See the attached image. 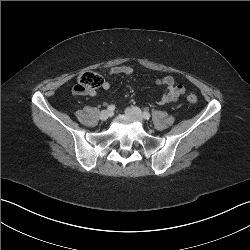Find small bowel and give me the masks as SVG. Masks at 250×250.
Here are the masks:
<instances>
[{
	"mask_svg": "<svg viewBox=\"0 0 250 250\" xmlns=\"http://www.w3.org/2000/svg\"><path fill=\"white\" fill-rule=\"evenodd\" d=\"M134 74V69L131 66L126 65H119L111 67L108 71V76L114 75H124V76H131ZM157 85H161L165 87V91L160 99L157 101L160 105H165L168 103L175 102L184 95L185 87L181 84H177L175 79L172 76H165L161 78H157L155 80ZM102 88L108 90L111 88V82L106 79L103 81ZM97 93L96 91H90L88 93L89 96H95Z\"/></svg>",
	"mask_w": 250,
	"mask_h": 250,
	"instance_id": "small-bowel-1",
	"label": "small bowel"
}]
</instances>
